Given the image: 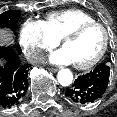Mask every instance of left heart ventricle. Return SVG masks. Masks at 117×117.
<instances>
[{
	"instance_id": "b2bd125f",
	"label": "left heart ventricle",
	"mask_w": 117,
	"mask_h": 117,
	"mask_svg": "<svg viewBox=\"0 0 117 117\" xmlns=\"http://www.w3.org/2000/svg\"><path fill=\"white\" fill-rule=\"evenodd\" d=\"M104 43V33L98 27H92L78 38L67 41L64 48L70 54L73 63L83 64L93 59Z\"/></svg>"
}]
</instances>
